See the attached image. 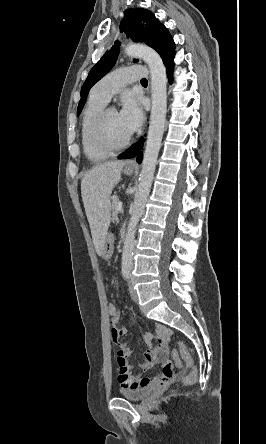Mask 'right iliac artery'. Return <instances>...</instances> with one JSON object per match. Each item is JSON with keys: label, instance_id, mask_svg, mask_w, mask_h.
<instances>
[{"label": "right iliac artery", "instance_id": "1", "mask_svg": "<svg viewBox=\"0 0 266 444\" xmlns=\"http://www.w3.org/2000/svg\"><path fill=\"white\" fill-rule=\"evenodd\" d=\"M124 277H125L126 279H128V278H129V275H128V274H125Z\"/></svg>", "mask_w": 266, "mask_h": 444}]
</instances>
